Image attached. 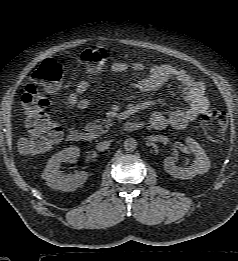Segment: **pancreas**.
Returning <instances> with one entry per match:
<instances>
[{
    "instance_id": "pancreas-1",
    "label": "pancreas",
    "mask_w": 238,
    "mask_h": 261,
    "mask_svg": "<svg viewBox=\"0 0 238 261\" xmlns=\"http://www.w3.org/2000/svg\"><path fill=\"white\" fill-rule=\"evenodd\" d=\"M103 124L105 126H103ZM112 124L113 123L111 119H105L102 123L99 119H96L93 122H89L85 126V131H87L89 135L97 137L103 133H106Z\"/></svg>"
}]
</instances>
